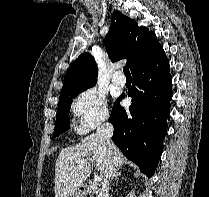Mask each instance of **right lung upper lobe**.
Segmentation results:
<instances>
[{
  "label": "right lung upper lobe",
  "instance_id": "obj_1",
  "mask_svg": "<svg viewBox=\"0 0 209 197\" xmlns=\"http://www.w3.org/2000/svg\"><path fill=\"white\" fill-rule=\"evenodd\" d=\"M104 43L111 61L127 58L131 72L163 51L153 32L139 27L134 20L119 11L112 16L110 31ZM96 81V62L90 53L85 52L68 69L61 93L70 88L94 85Z\"/></svg>",
  "mask_w": 209,
  "mask_h": 197
}]
</instances>
